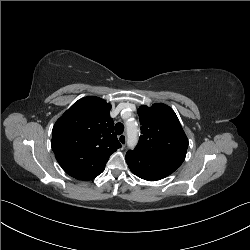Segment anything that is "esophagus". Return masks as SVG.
<instances>
[{"label": "esophagus", "instance_id": "esophagus-1", "mask_svg": "<svg viewBox=\"0 0 250 250\" xmlns=\"http://www.w3.org/2000/svg\"><path fill=\"white\" fill-rule=\"evenodd\" d=\"M118 140L121 143V145L124 147L126 145V135L125 134H121L118 136Z\"/></svg>", "mask_w": 250, "mask_h": 250}]
</instances>
